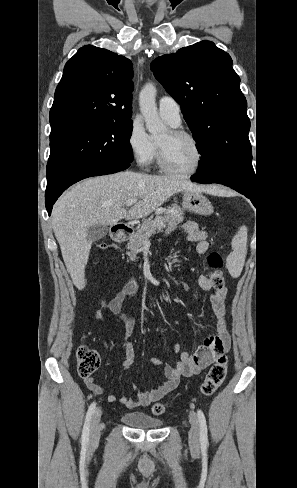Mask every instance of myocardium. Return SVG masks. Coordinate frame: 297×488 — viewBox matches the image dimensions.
I'll return each instance as SVG.
<instances>
[{
  "instance_id": "myocardium-1",
  "label": "myocardium",
  "mask_w": 297,
  "mask_h": 488,
  "mask_svg": "<svg viewBox=\"0 0 297 488\" xmlns=\"http://www.w3.org/2000/svg\"><path fill=\"white\" fill-rule=\"evenodd\" d=\"M170 134L173 137H183L189 139L195 146L196 151H197V160L195 165L188 171H179L174 168H172L166 159V153H165V148L164 146L160 143L157 142V163L159 167L166 173L178 176V177H190L194 174H196L204 160V153H203V148L199 142V140L190 132L183 130V129H172L170 130Z\"/></svg>"
}]
</instances>
